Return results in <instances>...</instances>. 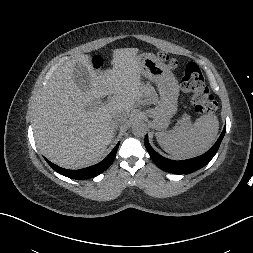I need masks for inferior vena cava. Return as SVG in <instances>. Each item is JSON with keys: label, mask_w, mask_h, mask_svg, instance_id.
<instances>
[{"label": "inferior vena cava", "mask_w": 253, "mask_h": 253, "mask_svg": "<svg viewBox=\"0 0 253 253\" xmlns=\"http://www.w3.org/2000/svg\"><path fill=\"white\" fill-rule=\"evenodd\" d=\"M127 117L125 114H114L111 119V123L114 127H121L122 124L126 121Z\"/></svg>", "instance_id": "obj_1"}]
</instances>
